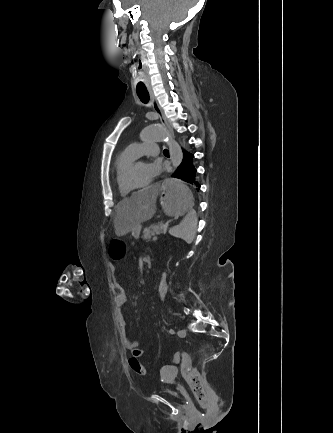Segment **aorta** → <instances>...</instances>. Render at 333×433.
Returning <instances> with one entry per match:
<instances>
[{"instance_id":"aorta-1","label":"aorta","mask_w":333,"mask_h":433,"mask_svg":"<svg viewBox=\"0 0 333 433\" xmlns=\"http://www.w3.org/2000/svg\"><path fill=\"white\" fill-rule=\"evenodd\" d=\"M140 139L148 143H167L172 166L176 168L182 162L183 153L180 145L163 126L154 125L145 127L140 133Z\"/></svg>"}]
</instances>
